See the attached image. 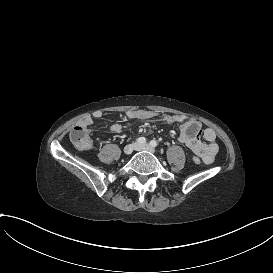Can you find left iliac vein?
I'll use <instances>...</instances> for the list:
<instances>
[{
    "mask_svg": "<svg viewBox=\"0 0 273 273\" xmlns=\"http://www.w3.org/2000/svg\"><path fill=\"white\" fill-rule=\"evenodd\" d=\"M135 150L137 151H142V150H146V151H149L151 153H155V149L153 147H151L150 145L148 144H141V145H137L135 147Z\"/></svg>",
    "mask_w": 273,
    "mask_h": 273,
    "instance_id": "4c4485c4",
    "label": "left iliac vein"
}]
</instances>
